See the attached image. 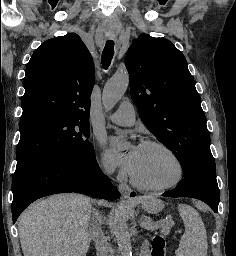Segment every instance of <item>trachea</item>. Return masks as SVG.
I'll return each instance as SVG.
<instances>
[{"mask_svg":"<svg viewBox=\"0 0 236 256\" xmlns=\"http://www.w3.org/2000/svg\"><path fill=\"white\" fill-rule=\"evenodd\" d=\"M114 55V42L108 40L105 44L104 50L102 52V66L107 69L111 63V60Z\"/></svg>","mask_w":236,"mask_h":256,"instance_id":"trachea-1","label":"trachea"}]
</instances>
